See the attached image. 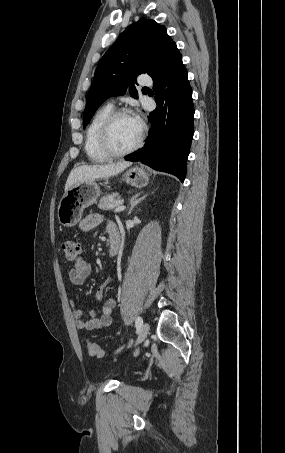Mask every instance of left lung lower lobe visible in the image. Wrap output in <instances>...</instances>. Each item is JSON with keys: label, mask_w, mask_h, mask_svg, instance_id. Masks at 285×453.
I'll return each instance as SVG.
<instances>
[{"label": "left lung lower lobe", "mask_w": 285, "mask_h": 453, "mask_svg": "<svg viewBox=\"0 0 285 453\" xmlns=\"http://www.w3.org/2000/svg\"><path fill=\"white\" fill-rule=\"evenodd\" d=\"M152 79L157 108L149 114L151 130L147 142L125 160L140 161L183 182L194 133V107L187 70L176 45Z\"/></svg>", "instance_id": "obj_1"}]
</instances>
